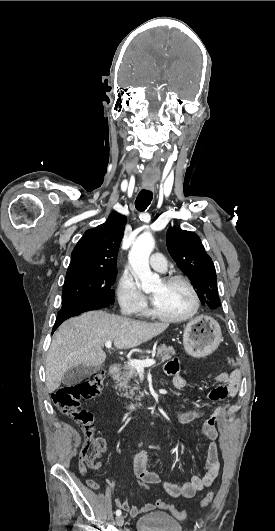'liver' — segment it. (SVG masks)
<instances>
[{
  "mask_svg": "<svg viewBox=\"0 0 275 531\" xmlns=\"http://www.w3.org/2000/svg\"><path fill=\"white\" fill-rule=\"evenodd\" d=\"M169 327L168 323H144L106 311H89L59 327L46 361V387L54 393L71 367H97L106 359L103 347L114 341L116 349H133Z\"/></svg>",
  "mask_w": 275,
  "mask_h": 531,
  "instance_id": "liver-1",
  "label": "liver"
}]
</instances>
